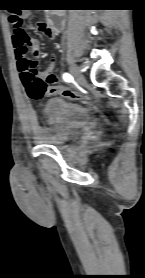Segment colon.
Listing matches in <instances>:
<instances>
[{"instance_id":"colon-1","label":"colon","mask_w":145,"mask_h":278,"mask_svg":"<svg viewBox=\"0 0 145 278\" xmlns=\"http://www.w3.org/2000/svg\"><path fill=\"white\" fill-rule=\"evenodd\" d=\"M10 25L13 30V36L17 43V46H26L32 42L31 37L28 35L27 31L23 27L22 20L17 14H11L10 18ZM15 52L18 57H24L26 55L25 49H17L15 47ZM64 92L67 95L76 96L77 93L70 89H65ZM31 96H35V93L31 92Z\"/></svg>"}]
</instances>
